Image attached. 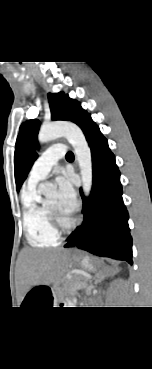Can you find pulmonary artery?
<instances>
[{"label": "pulmonary artery", "mask_w": 152, "mask_h": 369, "mask_svg": "<svg viewBox=\"0 0 152 369\" xmlns=\"http://www.w3.org/2000/svg\"><path fill=\"white\" fill-rule=\"evenodd\" d=\"M66 154V147L56 144L46 149L33 164L29 177V185H37L40 181L47 178L50 171L57 164V161Z\"/></svg>", "instance_id": "1"}]
</instances>
